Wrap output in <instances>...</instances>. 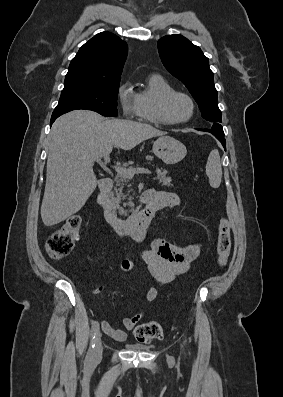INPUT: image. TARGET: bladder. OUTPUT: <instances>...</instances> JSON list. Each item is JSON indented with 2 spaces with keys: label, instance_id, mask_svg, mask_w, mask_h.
<instances>
[{
  "label": "bladder",
  "instance_id": "obj_1",
  "mask_svg": "<svg viewBox=\"0 0 283 397\" xmlns=\"http://www.w3.org/2000/svg\"><path fill=\"white\" fill-rule=\"evenodd\" d=\"M129 348H131V349H133V350L143 351V350H148V349H150V346H148V345H143V344H133V345H129Z\"/></svg>",
  "mask_w": 283,
  "mask_h": 397
}]
</instances>
